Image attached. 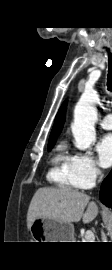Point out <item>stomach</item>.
I'll return each instance as SVG.
<instances>
[{
	"label": "stomach",
	"instance_id": "stomach-1",
	"mask_svg": "<svg viewBox=\"0 0 112 270\" xmlns=\"http://www.w3.org/2000/svg\"><path fill=\"white\" fill-rule=\"evenodd\" d=\"M35 242H74V226L54 219H35L30 227Z\"/></svg>",
	"mask_w": 112,
	"mask_h": 270
}]
</instances>
